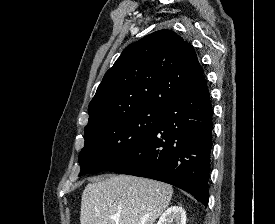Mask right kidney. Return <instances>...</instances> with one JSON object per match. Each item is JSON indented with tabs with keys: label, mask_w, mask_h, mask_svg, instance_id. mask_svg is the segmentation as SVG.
<instances>
[{
	"label": "right kidney",
	"mask_w": 275,
	"mask_h": 224,
	"mask_svg": "<svg viewBox=\"0 0 275 224\" xmlns=\"http://www.w3.org/2000/svg\"><path fill=\"white\" fill-rule=\"evenodd\" d=\"M156 224H186V212L180 206H171L161 215Z\"/></svg>",
	"instance_id": "obj_1"
}]
</instances>
